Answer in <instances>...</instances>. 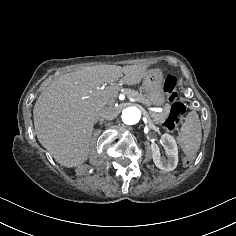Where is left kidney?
<instances>
[{
  "mask_svg": "<svg viewBox=\"0 0 236 236\" xmlns=\"http://www.w3.org/2000/svg\"><path fill=\"white\" fill-rule=\"evenodd\" d=\"M162 144L168 157L160 156L159 147L155 142L151 143L154 164L161 170L172 171L176 168L178 163V150L176 142L170 135L164 134L162 137Z\"/></svg>",
  "mask_w": 236,
  "mask_h": 236,
  "instance_id": "left-kidney-1",
  "label": "left kidney"
}]
</instances>
